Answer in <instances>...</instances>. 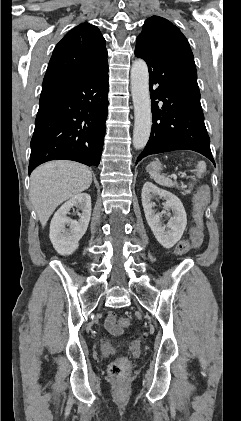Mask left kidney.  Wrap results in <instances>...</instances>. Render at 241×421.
<instances>
[{"mask_svg": "<svg viewBox=\"0 0 241 421\" xmlns=\"http://www.w3.org/2000/svg\"><path fill=\"white\" fill-rule=\"evenodd\" d=\"M155 196L163 198L166 201L163 203L164 209L173 212V217L166 226L161 222L162 216L153 210L152 199ZM141 197L146 220L155 238L163 247L168 249L173 247L181 239L187 225V216L182 202L171 192L160 189L151 182L144 184Z\"/></svg>", "mask_w": 241, "mask_h": 421, "instance_id": "1", "label": "left kidney"}]
</instances>
